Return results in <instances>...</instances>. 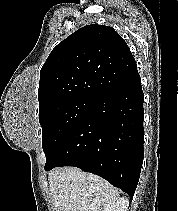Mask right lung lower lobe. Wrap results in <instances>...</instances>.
<instances>
[{
    "instance_id": "1",
    "label": "right lung lower lobe",
    "mask_w": 178,
    "mask_h": 211,
    "mask_svg": "<svg viewBox=\"0 0 178 211\" xmlns=\"http://www.w3.org/2000/svg\"><path fill=\"white\" fill-rule=\"evenodd\" d=\"M143 102L139 74L99 97L46 158L45 170L75 166L133 196L143 163Z\"/></svg>"
}]
</instances>
